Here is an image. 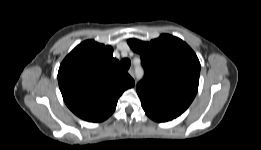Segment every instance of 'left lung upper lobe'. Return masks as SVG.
Returning <instances> with one entry per match:
<instances>
[{
  "mask_svg": "<svg viewBox=\"0 0 261 150\" xmlns=\"http://www.w3.org/2000/svg\"><path fill=\"white\" fill-rule=\"evenodd\" d=\"M128 44L145 70L137 85L142 107L174 118L182 114L198 90L200 62L194 51L168 34L150 42L129 39Z\"/></svg>",
  "mask_w": 261,
  "mask_h": 150,
  "instance_id": "left-lung-upper-lobe-1",
  "label": "left lung upper lobe"
}]
</instances>
